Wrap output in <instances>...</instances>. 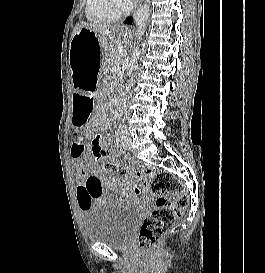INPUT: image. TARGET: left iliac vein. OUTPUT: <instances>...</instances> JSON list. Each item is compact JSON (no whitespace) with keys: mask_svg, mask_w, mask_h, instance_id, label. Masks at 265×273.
<instances>
[{"mask_svg":"<svg viewBox=\"0 0 265 273\" xmlns=\"http://www.w3.org/2000/svg\"><path fill=\"white\" fill-rule=\"evenodd\" d=\"M121 143L125 150L131 149L132 140L129 135H124L121 139Z\"/></svg>","mask_w":265,"mask_h":273,"instance_id":"4c4485c4","label":"left iliac vein"}]
</instances>
